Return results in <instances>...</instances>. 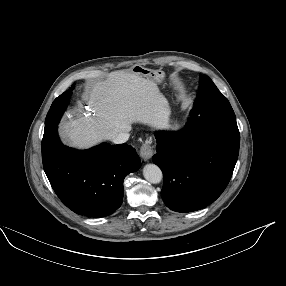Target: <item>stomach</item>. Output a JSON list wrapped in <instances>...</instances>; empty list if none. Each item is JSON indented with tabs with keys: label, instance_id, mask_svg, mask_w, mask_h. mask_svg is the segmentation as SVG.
Listing matches in <instances>:
<instances>
[{
	"label": "stomach",
	"instance_id": "1",
	"mask_svg": "<svg viewBox=\"0 0 286 286\" xmlns=\"http://www.w3.org/2000/svg\"><path fill=\"white\" fill-rule=\"evenodd\" d=\"M131 71L136 75H139V76L144 77V78L152 79L155 82H161L165 77V75L162 71L151 70V69L145 68L141 65H135L131 69Z\"/></svg>",
	"mask_w": 286,
	"mask_h": 286
}]
</instances>
